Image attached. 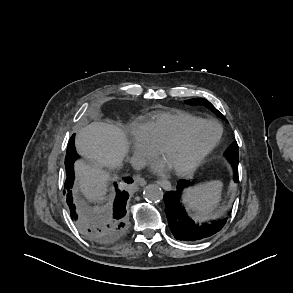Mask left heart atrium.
<instances>
[{"label": "left heart atrium", "mask_w": 293, "mask_h": 293, "mask_svg": "<svg viewBox=\"0 0 293 293\" xmlns=\"http://www.w3.org/2000/svg\"><path fill=\"white\" fill-rule=\"evenodd\" d=\"M169 165L166 161L154 162L152 164V170L158 173L163 172Z\"/></svg>", "instance_id": "obj_1"}]
</instances>
